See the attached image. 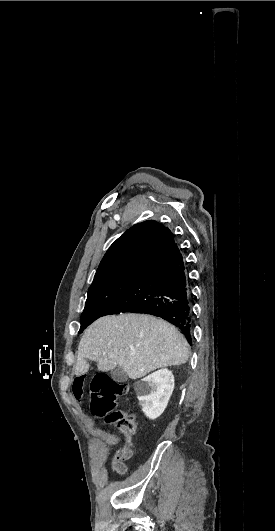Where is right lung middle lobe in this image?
Returning <instances> with one entry per match:
<instances>
[{
    "label": "right lung middle lobe",
    "instance_id": "dd1d6c3e",
    "mask_svg": "<svg viewBox=\"0 0 275 531\" xmlns=\"http://www.w3.org/2000/svg\"><path fill=\"white\" fill-rule=\"evenodd\" d=\"M146 266L115 271L93 281L81 315L79 333L103 314L132 286Z\"/></svg>",
    "mask_w": 275,
    "mask_h": 531
}]
</instances>
